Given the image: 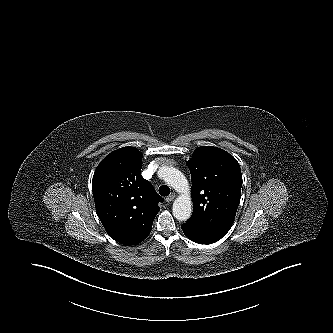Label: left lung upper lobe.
<instances>
[{"label":"left lung upper lobe","instance_id":"obj_1","mask_svg":"<svg viewBox=\"0 0 333 333\" xmlns=\"http://www.w3.org/2000/svg\"><path fill=\"white\" fill-rule=\"evenodd\" d=\"M191 173L193 213L187 223L223 237L231 228L241 198L237 160L211 146L198 147L187 162Z\"/></svg>","mask_w":333,"mask_h":333}]
</instances>
